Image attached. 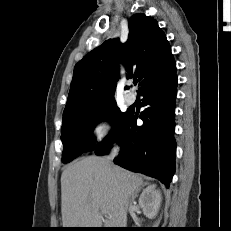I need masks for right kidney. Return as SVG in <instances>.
I'll return each mask as SVG.
<instances>
[{"instance_id":"1","label":"right kidney","mask_w":231,"mask_h":231,"mask_svg":"<svg viewBox=\"0 0 231 231\" xmlns=\"http://www.w3.org/2000/svg\"><path fill=\"white\" fill-rule=\"evenodd\" d=\"M161 192L156 190V185H150L143 190L139 197V205L146 217L153 219L157 215L161 205Z\"/></svg>"}]
</instances>
